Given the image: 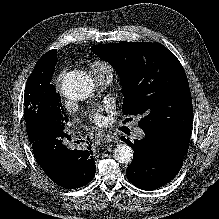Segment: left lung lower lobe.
I'll return each mask as SVG.
<instances>
[{
  "mask_svg": "<svg viewBox=\"0 0 219 219\" xmlns=\"http://www.w3.org/2000/svg\"><path fill=\"white\" fill-rule=\"evenodd\" d=\"M191 134L167 137L156 132H145V138L121 139L134 150L127 177L136 187L155 190L169 183L180 171L189 148Z\"/></svg>",
  "mask_w": 219,
  "mask_h": 219,
  "instance_id": "obj_1",
  "label": "left lung lower lobe"
}]
</instances>
